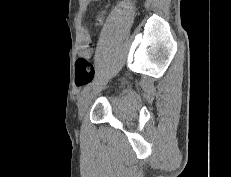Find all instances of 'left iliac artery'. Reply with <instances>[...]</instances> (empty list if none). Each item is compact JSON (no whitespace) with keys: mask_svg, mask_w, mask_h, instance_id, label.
I'll return each mask as SVG.
<instances>
[{"mask_svg":"<svg viewBox=\"0 0 231 177\" xmlns=\"http://www.w3.org/2000/svg\"><path fill=\"white\" fill-rule=\"evenodd\" d=\"M92 84L93 83H90L84 87V89L82 90V95H84L86 92H88L91 89Z\"/></svg>","mask_w":231,"mask_h":177,"instance_id":"obj_1","label":"left iliac artery"}]
</instances>
